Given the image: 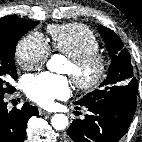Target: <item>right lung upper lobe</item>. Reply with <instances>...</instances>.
Here are the masks:
<instances>
[{
	"mask_svg": "<svg viewBox=\"0 0 142 142\" xmlns=\"http://www.w3.org/2000/svg\"><path fill=\"white\" fill-rule=\"evenodd\" d=\"M14 18H17V17H13V16L3 17V18H0V22L4 23V22L12 21Z\"/></svg>",
	"mask_w": 142,
	"mask_h": 142,
	"instance_id": "cb5924a9",
	"label": "right lung upper lobe"
}]
</instances>
